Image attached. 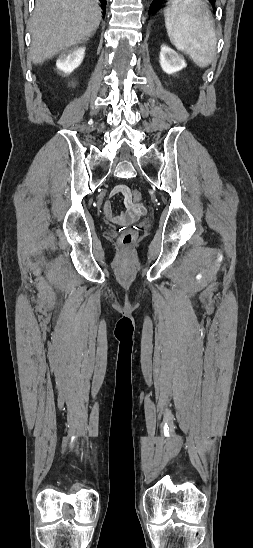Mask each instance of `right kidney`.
Returning a JSON list of instances; mask_svg holds the SVG:
<instances>
[{"label": "right kidney", "instance_id": "right-kidney-1", "mask_svg": "<svg viewBox=\"0 0 253 548\" xmlns=\"http://www.w3.org/2000/svg\"><path fill=\"white\" fill-rule=\"evenodd\" d=\"M85 48L80 47L63 52L56 61V66L65 74H70L83 61Z\"/></svg>", "mask_w": 253, "mask_h": 548}]
</instances>
